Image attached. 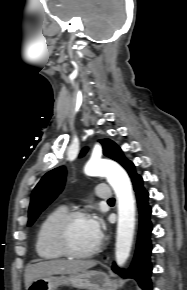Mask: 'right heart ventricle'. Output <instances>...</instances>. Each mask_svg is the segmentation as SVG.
I'll return each instance as SVG.
<instances>
[{
    "mask_svg": "<svg viewBox=\"0 0 187 290\" xmlns=\"http://www.w3.org/2000/svg\"><path fill=\"white\" fill-rule=\"evenodd\" d=\"M67 211L65 205H59L49 211L41 221L35 239V250L41 259L57 260L64 256L53 242L52 231L56 221Z\"/></svg>",
    "mask_w": 187,
    "mask_h": 290,
    "instance_id": "obj_1",
    "label": "right heart ventricle"
}]
</instances>
